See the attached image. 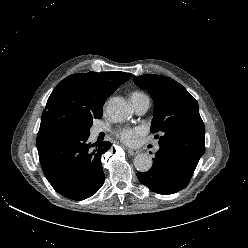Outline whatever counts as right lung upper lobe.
I'll use <instances>...</instances> for the list:
<instances>
[{
  "instance_id": "1",
  "label": "right lung upper lobe",
  "mask_w": 248,
  "mask_h": 248,
  "mask_svg": "<svg viewBox=\"0 0 248 248\" xmlns=\"http://www.w3.org/2000/svg\"><path fill=\"white\" fill-rule=\"evenodd\" d=\"M131 77V74L120 71H91L70 75L62 80L51 93L43 111L37 148L65 131L101 118L107 98Z\"/></svg>"
}]
</instances>
